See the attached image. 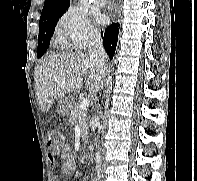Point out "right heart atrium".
I'll use <instances>...</instances> for the list:
<instances>
[{
    "mask_svg": "<svg viewBox=\"0 0 197 181\" xmlns=\"http://www.w3.org/2000/svg\"><path fill=\"white\" fill-rule=\"evenodd\" d=\"M56 33L59 40L75 50H84L99 39V32L86 13L76 7H70L62 13L57 21Z\"/></svg>",
    "mask_w": 197,
    "mask_h": 181,
    "instance_id": "right-heart-atrium-1",
    "label": "right heart atrium"
}]
</instances>
